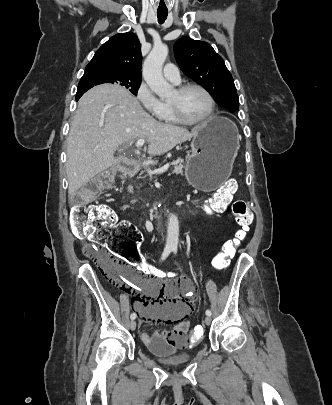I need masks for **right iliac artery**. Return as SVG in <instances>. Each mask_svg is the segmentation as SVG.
Segmentation results:
<instances>
[{
    "instance_id": "obj_1",
    "label": "right iliac artery",
    "mask_w": 332,
    "mask_h": 405,
    "mask_svg": "<svg viewBox=\"0 0 332 405\" xmlns=\"http://www.w3.org/2000/svg\"><path fill=\"white\" fill-rule=\"evenodd\" d=\"M171 251H172L171 248L166 247L164 249L163 253H162L161 260H165L168 257V255L170 254ZM136 316H137L136 313H132L130 315L131 320H134L136 318Z\"/></svg>"
}]
</instances>
